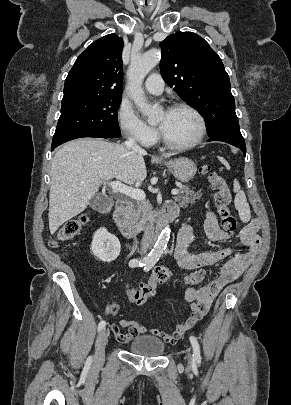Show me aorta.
Segmentation results:
<instances>
[{
  "label": "aorta",
  "instance_id": "762f6f07",
  "mask_svg": "<svg viewBox=\"0 0 291 405\" xmlns=\"http://www.w3.org/2000/svg\"><path fill=\"white\" fill-rule=\"evenodd\" d=\"M160 58L161 53L158 49H151L142 55H136L132 57L127 73L130 97L139 111L145 115L149 121L156 118L158 109L152 107L147 102L141 85L146 75L159 63ZM169 238L170 229L167 226L161 231L153 249L148 254L149 260L157 261L161 257L167 247Z\"/></svg>",
  "mask_w": 291,
  "mask_h": 405
}]
</instances>
